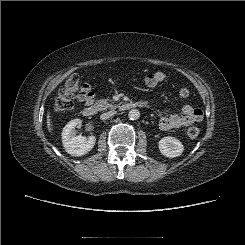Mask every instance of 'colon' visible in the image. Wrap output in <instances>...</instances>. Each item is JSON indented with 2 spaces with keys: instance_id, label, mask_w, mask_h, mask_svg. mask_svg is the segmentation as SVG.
<instances>
[{
  "instance_id": "obj_1",
  "label": "colon",
  "mask_w": 245,
  "mask_h": 245,
  "mask_svg": "<svg viewBox=\"0 0 245 245\" xmlns=\"http://www.w3.org/2000/svg\"><path fill=\"white\" fill-rule=\"evenodd\" d=\"M83 85L80 83L78 75H72L67 79L63 87L59 90L58 96L54 103L56 112L64 113L73 108L74 99L81 92ZM190 91L187 88H181L179 95L182 98L188 97ZM199 135V129L191 127L187 130V136L190 139H195Z\"/></svg>"
}]
</instances>
